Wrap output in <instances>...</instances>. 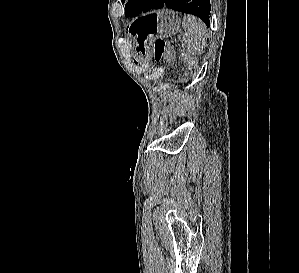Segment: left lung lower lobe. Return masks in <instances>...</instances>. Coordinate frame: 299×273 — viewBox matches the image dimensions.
<instances>
[{"mask_svg":"<svg viewBox=\"0 0 299 273\" xmlns=\"http://www.w3.org/2000/svg\"><path fill=\"white\" fill-rule=\"evenodd\" d=\"M162 7L196 15L210 25V0H147L142 12Z\"/></svg>","mask_w":299,"mask_h":273,"instance_id":"obj_1","label":"left lung lower lobe"}]
</instances>
